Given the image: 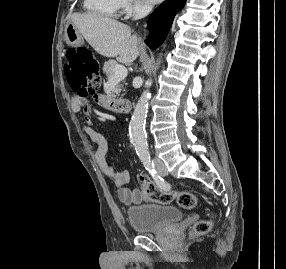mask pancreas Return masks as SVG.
<instances>
[{
    "label": "pancreas",
    "instance_id": "obj_1",
    "mask_svg": "<svg viewBox=\"0 0 286 269\" xmlns=\"http://www.w3.org/2000/svg\"><path fill=\"white\" fill-rule=\"evenodd\" d=\"M118 63L114 60L106 62L103 66V73L107 76V79L110 80L114 76L115 66ZM125 78L119 79L116 86L113 88L112 92L109 95H106L105 98L107 101L113 100L116 96L119 95L121 82H124Z\"/></svg>",
    "mask_w": 286,
    "mask_h": 269
}]
</instances>
